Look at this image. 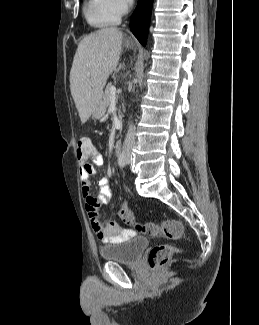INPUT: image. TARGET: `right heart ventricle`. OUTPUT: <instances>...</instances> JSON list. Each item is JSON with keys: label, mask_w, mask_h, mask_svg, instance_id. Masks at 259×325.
<instances>
[{"label": "right heart ventricle", "mask_w": 259, "mask_h": 325, "mask_svg": "<svg viewBox=\"0 0 259 325\" xmlns=\"http://www.w3.org/2000/svg\"><path fill=\"white\" fill-rule=\"evenodd\" d=\"M84 15L88 24L96 28L113 26L119 21V17L110 10L107 0H87Z\"/></svg>", "instance_id": "right-heart-ventricle-1"}]
</instances>
